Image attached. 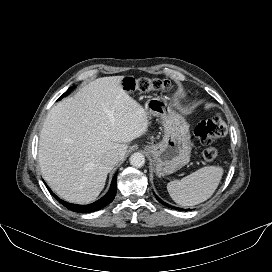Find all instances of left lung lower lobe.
Wrapping results in <instances>:
<instances>
[{"label":"left lung lower lobe","instance_id":"1","mask_svg":"<svg viewBox=\"0 0 272 272\" xmlns=\"http://www.w3.org/2000/svg\"><path fill=\"white\" fill-rule=\"evenodd\" d=\"M155 197H156V199H157L160 203H162L163 205H165V206H167V207H172L171 205H169V204L163 202L157 195H155ZM173 208L176 209V210H179V208H177V207H173ZM183 210H184V209H183ZM185 211H186V210H185Z\"/></svg>","mask_w":272,"mask_h":272}]
</instances>
